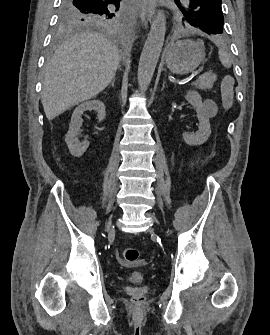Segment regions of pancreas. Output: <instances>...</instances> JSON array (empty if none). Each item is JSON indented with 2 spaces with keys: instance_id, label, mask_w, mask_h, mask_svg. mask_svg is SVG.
Returning a JSON list of instances; mask_svg holds the SVG:
<instances>
[{
  "instance_id": "obj_1",
  "label": "pancreas",
  "mask_w": 270,
  "mask_h": 335,
  "mask_svg": "<svg viewBox=\"0 0 270 335\" xmlns=\"http://www.w3.org/2000/svg\"><path fill=\"white\" fill-rule=\"evenodd\" d=\"M216 80V74H212V72H206V74H203V76H199L198 80L194 82L193 86H196V88H199V90H211Z\"/></svg>"
}]
</instances>
